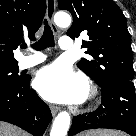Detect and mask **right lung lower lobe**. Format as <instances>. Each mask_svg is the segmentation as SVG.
<instances>
[{
    "instance_id": "98d812e1",
    "label": "right lung lower lobe",
    "mask_w": 136,
    "mask_h": 136,
    "mask_svg": "<svg viewBox=\"0 0 136 136\" xmlns=\"http://www.w3.org/2000/svg\"><path fill=\"white\" fill-rule=\"evenodd\" d=\"M30 80L31 76H23L11 87H0V121L42 136L52 115L46 103L30 89Z\"/></svg>"
}]
</instances>
